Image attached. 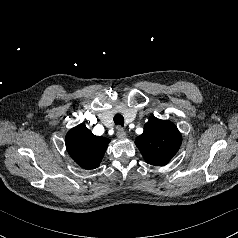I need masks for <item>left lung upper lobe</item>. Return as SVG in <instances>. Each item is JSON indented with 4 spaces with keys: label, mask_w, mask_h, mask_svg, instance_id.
<instances>
[{
    "label": "left lung upper lobe",
    "mask_w": 238,
    "mask_h": 238,
    "mask_svg": "<svg viewBox=\"0 0 238 238\" xmlns=\"http://www.w3.org/2000/svg\"><path fill=\"white\" fill-rule=\"evenodd\" d=\"M181 142L182 136L172 122L153 117L135 144L148 164L164 166L178 152Z\"/></svg>",
    "instance_id": "obj_1"
}]
</instances>
